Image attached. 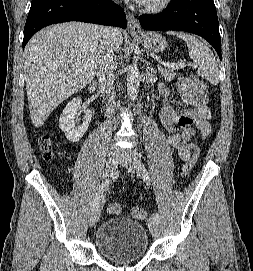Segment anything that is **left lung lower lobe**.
Returning <instances> with one entry per match:
<instances>
[{
  "mask_svg": "<svg viewBox=\"0 0 253 271\" xmlns=\"http://www.w3.org/2000/svg\"><path fill=\"white\" fill-rule=\"evenodd\" d=\"M139 22L145 30H179L197 34L215 48L221 59L219 23L213 0H171L164 12L140 16Z\"/></svg>",
  "mask_w": 253,
  "mask_h": 271,
  "instance_id": "left-lung-lower-lobe-1",
  "label": "left lung lower lobe"
}]
</instances>
